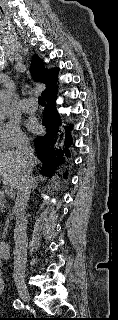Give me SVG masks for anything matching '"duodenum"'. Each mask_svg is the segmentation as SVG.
Here are the masks:
<instances>
[{
	"label": "duodenum",
	"mask_w": 118,
	"mask_h": 320,
	"mask_svg": "<svg viewBox=\"0 0 118 320\" xmlns=\"http://www.w3.org/2000/svg\"><path fill=\"white\" fill-rule=\"evenodd\" d=\"M10 243L9 241H0V258L6 259L9 254Z\"/></svg>",
	"instance_id": "1"
}]
</instances>
